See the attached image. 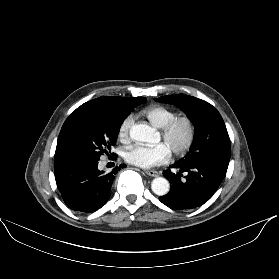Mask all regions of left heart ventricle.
Here are the masks:
<instances>
[{"label": "left heart ventricle", "instance_id": "1", "mask_svg": "<svg viewBox=\"0 0 279 279\" xmlns=\"http://www.w3.org/2000/svg\"><path fill=\"white\" fill-rule=\"evenodd\" d=\"M188 133V128L185 123H180L176 126L171 136L167 140H163L160 134V140L166 144V146L170 149L180 148L186 140Z\"/></svg>", "mask_w": 279, "mask_h": 279}]
</instances>
